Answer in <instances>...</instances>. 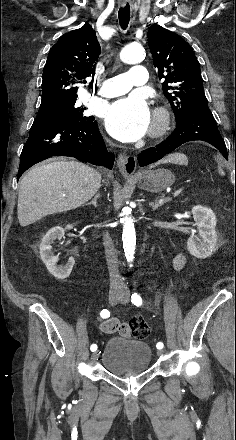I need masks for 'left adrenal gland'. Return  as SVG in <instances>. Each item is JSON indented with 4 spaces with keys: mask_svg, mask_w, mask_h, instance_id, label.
<instances>
[{
    "mask_svg": "<svg viewBox=\"0 0 236 440\" xmlns=\"http://www.w3.org/2000/svg\"><path fill=\"white\" fill-rule=\"evenodd\" d=\"M170 200H171L170 198H165L164 196H162L160 199L156 200L155 202H151L150 207L153 210H156V209H158V207L164 205V203H167Z\"/></svg>",
    "mask_w": 236,
    "mask_h": 440,
    "instance_id": "obj_1",
    "label": "left adrenal gland"
}]
</instances>
